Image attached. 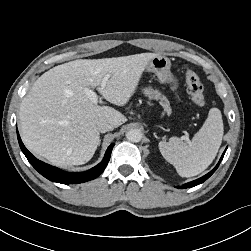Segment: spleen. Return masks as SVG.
I'll return each mask as SVG.
<instances>
[{"label": "spleen", "mask_w": 251, "mask_h": 251, "mask_svg": "<svg viewBox=\"0 0 251 251\" xmlns=\"http://www.w3.org/2000/svg\"><path fill=\"white\" fill-rule=\"evenodd\" d=\"M224 126L221 111L211 108L203 126L189 143L178 137L159 142V150L181 177L203 172L215 159L220 148Z\"/></svg>", "instance_id": "3e777b00"}]
</instances>
